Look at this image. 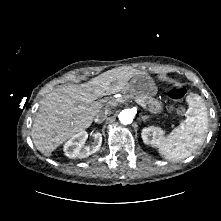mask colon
Wrapping results in <instances>:
<instances>
[{"mask_svg": "<svg viewBox=\"0 0 221 221\" xmlns=\"http://www.w3.org/2000/svg\"><path fill=\"white\" fill-rule=\"evenodd\" d=\"M186 93H187L186 89H184L182 87H174V88L170 89V91L168 92V97L173 101L179 102L185 98ZM178 112L182 113L183 108L179 107Z\"/></svg>", "mask_w": 221, "mask_h": 221, "instance_id": "5ec220e1", "label": "colon"}]
</instances>
